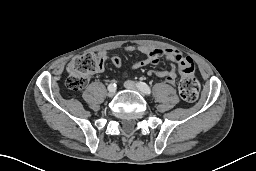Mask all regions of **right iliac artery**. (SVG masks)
<instances>
[{
    "instance_id": "1",
    "label": "right iliac artery",
    "mask_w": 256,
    "mask_h": 171,
    "mask_svg": "<svg viewBox=\"0 0 256 171\" xmlns=\"http://www.w3.org/2000/svg\"><path fill=\"white\" fill-rule=\"evenodd\" d=\"M110 89H116V84L115 83L109 84L108 90H110Z\"/></svg>"
}]
</instances>
